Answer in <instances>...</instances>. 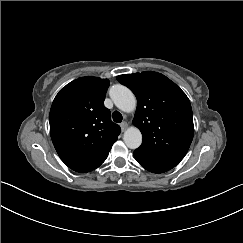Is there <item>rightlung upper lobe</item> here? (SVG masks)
I'll use <instances>...</instances> for the list:
<instances>
[{
  "mask_svg": "<svg viewBox=\"0 0 243 243\" xmlns=\"http://www.w3.org/2000/svg\"><path fill=\"white\" fill-rule=\"evenodd\" d=\"M108 79L78 78L63 87L50 110V135L62 161L81 173L100 166L121 132L104 106Z\"/></svg>",
  "mask_w": 243,
  "mask_h": 243,
  "instance_id": "right-lung-upper-lobe-1",
  "label": "right lung upper lobe"
}]
</instances>
